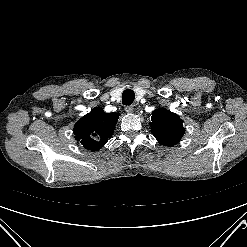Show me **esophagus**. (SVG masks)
<instances>
[{
  "label": "esophagus",
  "mask_w": 247,
  "mask_h": 247,
  "mask_svg": "<svg viewBox=\"0 0 247 247\" xmlns=\"http://www.w3.org/2000/svg\"><path fill=\"white\" fill-rule=\"evenodd\" d=\"M133 110H134V106L133 105H128V106L125 107V111L127 113H132Z\"/></svg>",
  "instance_id": "obj_1"
}]
</instances>
